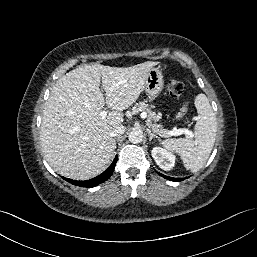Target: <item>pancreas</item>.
<instances>
[{
  "instance_id": "pancreas-1",
  "label": "pancreas",
  "mask_w": 257,
  "mask_h": 257,
  "mask_svg": "<svg viewBox=\"0 0 257 257\" xmlns=\"http://www.w3.org/2000/svg\"><path fill=\"white\" fill-rule=\"evenodd\" d=\"M136 106L138 110H144L148 114L146 119V124L148 125L149 128H151L155 133H157L162 137H169L168 130L163 129L162 126L159 124L153 123L159 120V115H156L155 112H153L150 109L148 104L144 102H140L136 104Z\"/></svg>"
}]
</instances>
